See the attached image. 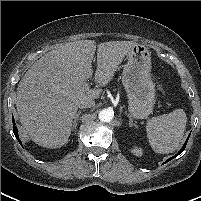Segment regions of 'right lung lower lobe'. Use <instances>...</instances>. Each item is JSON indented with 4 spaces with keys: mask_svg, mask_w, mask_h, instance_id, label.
Masks as SVG:
<instances>
[{
    "mask_svg": "<svg viewBox=\"0 0 201 201\" xmlns=\"http://www.w3.org/2000/svg\"><path fill=\"white\" fill-rule=\"evenodd\" d=\"M12 119H13V132H14V135H15L16 139L18 140V142L21 144V141H20L19 135H18V130H17L16 126H15L14 118H12Z\"/></svg>",
    "mask_w": 201,
    "mask_h": 201,
    "instance_id": "98d812e1",
    "label": "right lung lower lobe"
}]
</instances>
